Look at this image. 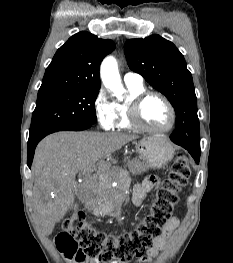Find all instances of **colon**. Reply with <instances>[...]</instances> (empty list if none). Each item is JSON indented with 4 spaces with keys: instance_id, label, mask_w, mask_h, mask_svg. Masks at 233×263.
Masks as SVG:
<instances>
[{
    "instance_id": "1",
    "label": "colon",
    "mask_w": 233,
    "mask_h": 263,
    "mask_svg": "<svg viewBox=\"0 0 233 263\" xmlns=\"http://www.w3.org/2000/svg\"><path fill=\"white\" fill-rule=\"evenodd\" d=\"M190 174L187 156L179 154L157 192L150 213L136 229L129 232L107 234L91 226L82 211H75L65 221L63 231L56 238L58 249L68 259L79 263L88 259H98L104 263L112 260L126 263L141 257L161 236L162 228L179 201L178 193L186 185Z\"/></svg>"
}]
</instances>
